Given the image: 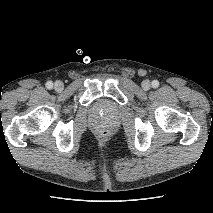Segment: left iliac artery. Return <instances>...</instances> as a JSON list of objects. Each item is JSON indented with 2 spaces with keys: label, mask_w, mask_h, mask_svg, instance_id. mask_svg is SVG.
I'll return each mask as SVG.
<instances>
[{
  "label": "left iliac artery",
  "mask_w": 213,
  "mask_h": 213,
  "mask_svg": "<svg viewBox=\"0 0 213 213\" xmlns=\"http://www.w3.org/2000/svg\"><path fill=\"white\" fill-rule=\"evenodd\" d=\"M158 86H159L158 80H153V81H152V87H153V88H157Z\"/></svg>",
  "instance_id": "44dca946"
}]
</instances>
